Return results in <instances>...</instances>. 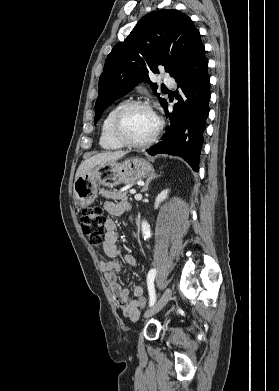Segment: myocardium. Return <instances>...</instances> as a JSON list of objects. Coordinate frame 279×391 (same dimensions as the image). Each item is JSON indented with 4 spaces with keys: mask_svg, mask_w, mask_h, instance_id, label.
<instances>
[{
    "mask_svg": "<svg viewBox=\"0 0 279 391\" xmlns=\"http://www.w3.org/2000/svg\"><path fill=\"white\" fill-rule=\"evenodd\" d=\"M144 107L153 112L157 119V126L152 135L143 141H133L127 138L123 132V119L127 112L133 108ZM163 127V121L153 106L146 100H132L121 105L113 117L112 121V134L113 137L122 145L131 148H142L151 145L158 138Z\"/></svg>",
    "mask_w": 279,
    "mask_h": 391,
    "instance_id": "1",
    "label": "myocardium"
}]
</instances>
